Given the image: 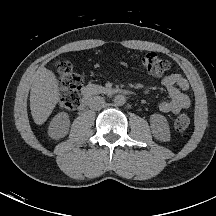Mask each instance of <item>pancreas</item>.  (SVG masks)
I'll return each mask as SVG.
<instances>
[{"label":"pancreas","instance_id":"pancreas-1","mask_svg":"<svg viewBox=\"0 0 216 216\" xmlns=\"http://www.w3.org/2000/svg\"><path fill=\"white\" fill-rule=\"evenodd\" d=\"M93 91L94 93H106L107 89L103 86H99V85H93Z\"/></svg>","mask_w":216,"mask_h":216}]
</instances>
